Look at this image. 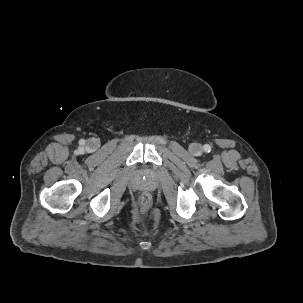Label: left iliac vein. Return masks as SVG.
<instances>
[{
	"label": "left iliac vein",
	"mask_w": 303,
	"mask_h": 303,
	"mask_svg": "<svg viewBox=\"0 0 303 303\" xmlns=\"http://www.w3.org/2000/svg\"><path fill=\"white\" fill-rule=\"evenodd\" d=\"M189 150L193 155H199L202 152V147L201 145L194 143L190 146Z\"/></svg>",
	"instance_id": "obj_1"
}]
</instances>
